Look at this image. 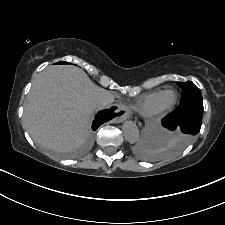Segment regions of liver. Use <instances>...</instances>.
I'll return each instance as SVG.
<instances>
[{"label":"liver","instance_id":"1","mask_svg":"<svg viewBox=\"0 0 225 225\" xmlns=\"http://www.w3.org/2000/svg\"><path fill=\"white\" fill-rule=\"evenodd\" d=\"M103 98L114 99L78 67L49 66L33 81L23 125L36 143L57 152L72 151L85 142Z\"/></svg>","mask_w":225,"mask_h":225}]
</instances>
